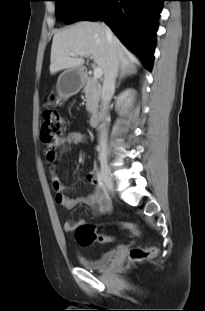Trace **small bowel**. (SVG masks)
Listing matches in <instances>:
<instances>
[{"label": "small bowel", "mask_w": 205, "mask_h": 311, "mask_svg": "<svg viewBox=\"0 0 205 311\" xmlns=\"http://www.w3.org/2000/svg\"><path fill=\"white\" fill-rule=\"evenodd\" d=\"M86 141V135L79 131H72L65 135L62 139L53 145V149L58 150L60 153L65 152L73 145H78ZM87 180L94 186L92 193L85 197L74 198L69 195V189L65 186L62 179L57 174L54 168L51 169V182L55 190L56 202L65 208L71 209L78 204L84 203L92 207L94 213H103L110 207V199L101 189L99 180L96 177V167L93 166L87 175ZM84 220L72 221L68 220L64 223V229L67 232L75 231L76 227L84 223Z\"/></svg>", "instance_id": "obj_1"}]
</instances>
